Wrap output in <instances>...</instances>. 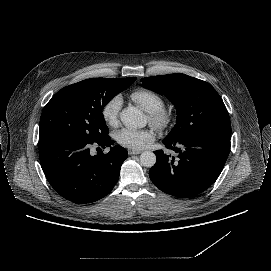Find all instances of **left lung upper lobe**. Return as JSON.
<instances>
[{
	"instance_id": "left-lung-upper-lobe-1",
	"label": "left lung upper lobe",
	"mask_w": 271,
	"mask_h": 271,
	"mask_svg": "<svg viewBox=\"0 0 271 271\" xmlns=\"http://www.w3.org/2000/svg\"><path fill=\"white\" fill-rule=\"evenodd\" d=\"M141 81L144 87L165 95L177 109L176 125L166 140H180L206 130L231 133L228 111L209 83L182 73L147 77Z\"/></svg>"
}]
</instances>
